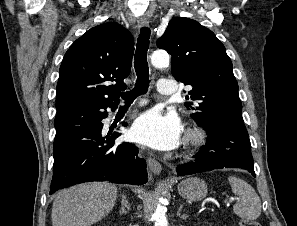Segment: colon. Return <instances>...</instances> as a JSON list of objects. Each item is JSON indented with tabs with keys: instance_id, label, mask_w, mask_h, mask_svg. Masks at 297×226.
<instances>
[{
	"instance_id": "1",
	"label": "colon",
	"mask_w": 297,
	"mask_h": 226,
	"mask_svg": "<svg viewBox=\"0 0 297 226\" xmlns=\"http://www.w3.org/2000/svg\"><path fill=\"white\" fill-rule=\"evenodd\" d=\"M239 226H261V224L254 220L242 219L239 221Z\"/></svg>"
}]
</instances>
